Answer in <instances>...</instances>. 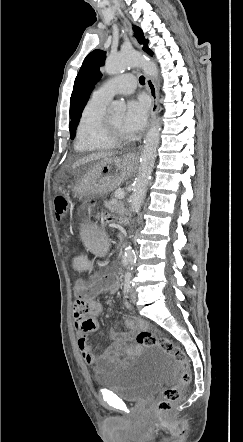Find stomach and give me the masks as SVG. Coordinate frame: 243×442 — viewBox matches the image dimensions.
<instances>
[{
  "instance_id": "0dacf381",
  "label": "stomach",
  "mask_w": 243,
  "mask_h": 442,
  "mask_svg": "<svg viewBox=\"0 0 243 442\" xmlns=\"http://www.w3.org/2000/svg\"><path fill=\"white\" fill-rule=\"evenodd\" d=\"M134 166L135 159L131 155L101 160L79 179L72 191L81 197L108 193L130 175Z\"/></svg>"
}]
</instances>
